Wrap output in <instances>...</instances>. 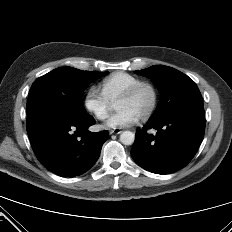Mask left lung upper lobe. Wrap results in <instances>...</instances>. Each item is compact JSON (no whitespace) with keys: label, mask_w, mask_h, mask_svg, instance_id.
<instances>
[{"label":"left lung upper lobe","mask_w":232,"mask_h":232,"mask_svg":"<svg viewBox=\"0 0 232 232\" xmlns=\"http://www.w3.org/2000/svg\"><path fill=\"white\" fill-rule=\"evenodd\" d=\"M135 73L150 78L163 94L151 119L159 118L182 104L201 99L196 83L174 68L154 65Z\"/></svg>","instance_id":"5c2ea615"}]
</instances>
